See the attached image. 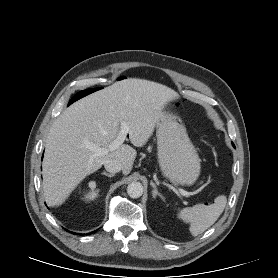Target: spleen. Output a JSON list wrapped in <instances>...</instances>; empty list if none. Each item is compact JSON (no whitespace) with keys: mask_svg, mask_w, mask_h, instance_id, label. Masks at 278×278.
Listing matches in <instances>:
<instances>
[{"mask_svg":"<svg viewBox=\"0 0 278 278\" xmlns=\"http://www.w3.org/2000/svg\"><path fill=\"white\" fill-rule=\"evenodd\" d=\"M227 203L224 195L218 196L213 204L208 206L197 204L191 208H184L180 211L179 217L190 222V232L197 236L213 225L222 214Z\"/></svg>","mask_w":278,"mask_h":278,"instance_id":"3e777b00","label":"spleen"}]
</instances>
